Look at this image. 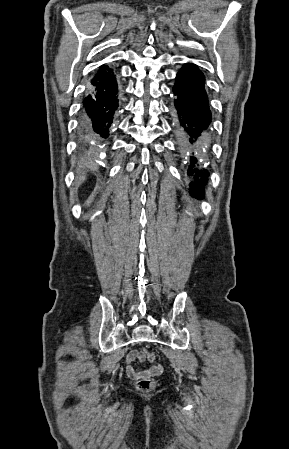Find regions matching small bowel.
<instances>
[{
    "label": "small bowel",
    "instance_id": "c3829d8e",
    "mask_svg": "<svg viewBox=\"0 0 289 449\" xmlns=\"http://www.w3.org/2000/svg\"><path fill=\"white\" fill-rule=\"evenodd\" d=\"M145 359V352L143 351L132 350L127 354L126 370L130 378L137 380L142 377L159 375L162 372L163 367L161 365H155L146 369H138L134 366V362H143Z\"/></svg>",
    "mask_w": 289,
    "mask_h": 449
}]
</instances>
